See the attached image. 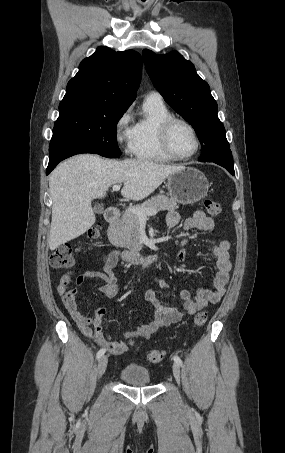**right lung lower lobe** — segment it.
<instances>
[{
    "label": "right lung lower lobe",
    "mask_w": 285,
    "mask_h": 453,
    "mask_svg": "<svg viewBox=\"0 0 285 453\" xmlns=\"http://www.w3.org/2000/svg\"><path fill=\"white\" fill-rule=\"evenodd\" d=\"M80 153H91V151L87 147L63 134L53 133L49 146V164L46 175H48L60 161Z\"/></svg>",
    "instance_id": "98d812e1"
}]
</instances>
